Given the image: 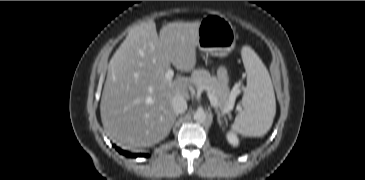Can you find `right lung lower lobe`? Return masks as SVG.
I'll return each instance as SVG.
<instances>
[{"mask_svg": "<svg viewBox=\"0 0 365 180\" xmlns=\"http://www.w3.org/2000/svg\"><path fill=\"white\" fill-rule=\"evenodd\" d=\"M116 149H117V151H119L120 154L125 155L127 157H140V156H145L143 154H131V153L127 152V151L121 150L118 147Z\"/></svg>", "mask_w": 365, "mask_h": 180, "instance_id": "obj_1", "label": "right lung lower lobe"}]
</instances>
